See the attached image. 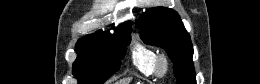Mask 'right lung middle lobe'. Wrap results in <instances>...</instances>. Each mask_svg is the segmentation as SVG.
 Instances as JSON below:
<instances>
[{"instance_id": "obj_1", "label": "right lung middle lobe", "mask_w": 260, "mask_h": 84, "mask_svg": "<svg viewBox=\"0 0 260 84\" xmlns=\"http://www.w3.org/2000/svg\"><path fill=\"white\" fill-rule=\"evenodd\" d=\"M130 33L76 46L78 57L73 65V74L79 83L102 84L115 73L130 43Z\"/></svg>"}]
</instances>
